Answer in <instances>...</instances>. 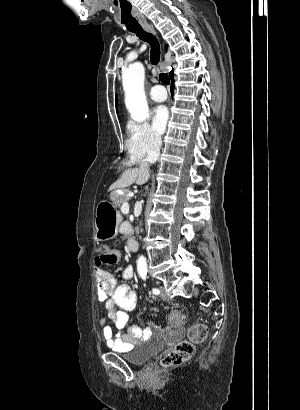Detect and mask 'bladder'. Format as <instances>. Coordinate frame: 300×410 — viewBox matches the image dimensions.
Segmentation results:
<instances>
[{"mask_svg":"<svg viewBox=\"0 0 300 410\" xmlns=\"http://www.w3.org/2000/svg\"><path fill=\"white\" fill-rule=\"evenodd\" d=\"M162 347V344L137 343L135 347L125 353L122 358L132 365L140 366L148 362Z\"/></svg>","mask_w":300,"mask_h":410,"instance_id":"1","label":"bladder"}]
</instances>
